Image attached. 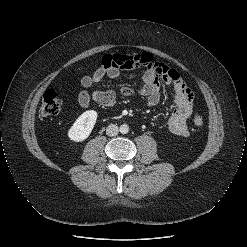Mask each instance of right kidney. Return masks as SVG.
<instances>
[{
	"instance_id": "ca27d5eb",
	"label": "right kidney",
	"mask_w": 247,
	"mask_h": 247,
	"mask_svg": "<svg viewBox=\"0 0 247 247\" xmlns=\"http://www.w3.org/2000/svg\"><path fill=\"white\" fill-rule=\"evenodd\" d=\"M97 112L88 110L82 113L68 131V137L74 142H82L87 139L97 120Z\"/></svg>"
}]
</instances>
